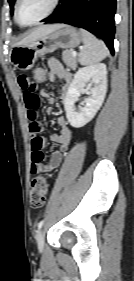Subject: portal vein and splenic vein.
I'll use <instances>...</instances> for the list:
<instances>
[{
    "instance_id": "portal-vein-and-splenic-vein-1",
    "label": "portal vein and splenic vein",
    "mask_w": 134,
    "mask_h": 281,
    "mask_svg": "<svg viewBox=\"0 0 134 281\" xmlns=\"http://www.w3.org/2000/svg\"><path fill=\"white\" fill-rule=\"evenodd\" d=\"M71 54H72V56H74V57L77 55L76 51H72Z\"/></svg>"
}]
</instances>
